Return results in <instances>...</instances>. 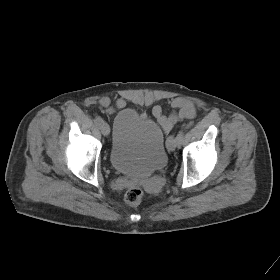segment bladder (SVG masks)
I'll return each mask as SVG.
<instances>
[{"mask_svg": "<svg viewBox=\"0 0 280 280\" xmlns=\"http://www.w3.org/2000/svg\"><path fill=\"white\" fill-rule=\"evenodd\" d=\"M109 159L113 168L132 178H146L167 163L161 125L133 109H123L113 121Z\"/></svg>", "mask_w": 280, "mask_h": 280, "instance_id": "1", "label": "bladder"}]
</instances>
